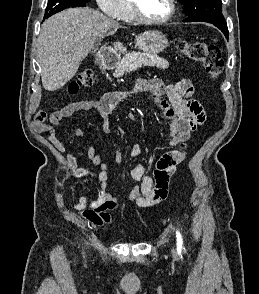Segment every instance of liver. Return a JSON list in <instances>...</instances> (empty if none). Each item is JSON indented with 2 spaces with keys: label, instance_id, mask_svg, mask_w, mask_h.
<instances>
[{
  "label": "liver",
  "instance_id": "1",
  "mask_svg": "<svg viewBox=\"0 0 259 294\" xmlns=\"http://www.w3.org/2000/svg\"><path fill=\"white\" fill-rule=\"evenodd\" d=\"M120 27L115 20L88 7L70 8L44 21L37 39L44 89L55 91L68 83L97 41ZM114 51L125 53L127 49L115 42Z\"/></svg>",
  "mask_w": 259,
  "mask_h": 294
}]
</instances>
